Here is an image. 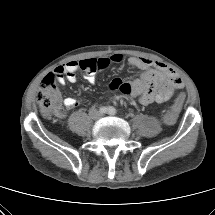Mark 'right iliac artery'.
I'll return each mask as SVG.
<instances>
[{"mask_svg":"<svg viewBox=\"0 0 215 215\" xmlns=\"http://www.w3.org/2000/svg\"><path fill=\"white\" fill-rule=\"evenodd\" d=\"M107 111H108V108H106V107H101L100 109H99V112L101 113V114H105V113H107Z\"/></svg>","mask_w":215,"mask_h":215,"instance_id":"obj_1","label":"right iliac artery"}]
</instances>
